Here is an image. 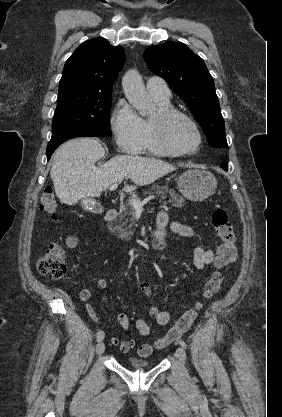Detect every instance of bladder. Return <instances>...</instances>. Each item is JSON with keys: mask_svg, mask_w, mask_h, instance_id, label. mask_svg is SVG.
<instances>
[{"mask_svg": "<svg viewBox=\"0 0 282 417\" xmlns=\"http://www.w3.org/2000/svg\"><path fill=\"white\" fill-rule=\"evenodd\" d=\"M127 364L129 367L133 369H145L150 366V363L148 361L136 357L128 358Z\"/></svg>", "mask_w": 282, "mask_h": 417, "instance_id": "1", "label": "bladder"}]
</instances>
